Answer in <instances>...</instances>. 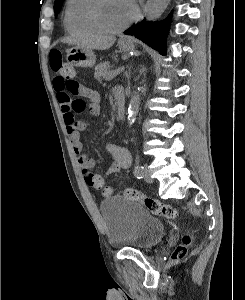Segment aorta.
Instances as JSON below:
<instances>
[{"instance_id": "1", "label": "aorta", "mask_w": 245, "mask_h": 300, "mask_svg": "<svg viewBox=\"0 0 245 300\" xmlns=\"http://www.w3.org/2000/svg\"><path fill=\"white\" fill-rule=\"evenodd\" d=\"M169 2L170 0H148L144 8L146 19L151 21L158 19L166 10ZM139 103L140 95L138 89V92L133 95L128 108V121L130 124L135 121L139 110Z\"/></svg>"}]
</instances>
